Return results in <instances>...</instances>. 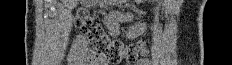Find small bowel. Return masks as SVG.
I'll list each match as a JSON object with an SVG mask.
<instances>
[{
	"label": "small bowel",
	"mask_w": 232,
	"mask_h": 65,
	"mask_svg": "<svg viewBox=\"0 0 232 65\" xmlns=\"http://www.w3.org/2000/svg\"><path fill=\"white\" fill-rule=\"evenodd\" d=\"M106 25L109 28V31L115 33L116 37H140L141 29H131V32H116L117 28H123V23H115L114 21H137V16H122L120 12H106ZM119 15V16H118ZM137 27H140V24H137ZM82 39V38H78ZM78 39L76 43L78 42ZM150 60L144 59L140 60L137 65H149Z\"/></svg>",
	"instance_id": "1"
}]
</instances>
